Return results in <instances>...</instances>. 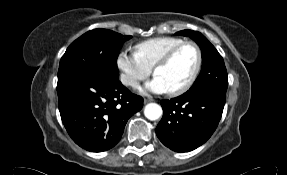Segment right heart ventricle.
I'll return each instance as SVG.
<instances>
[{
	"label": "right heart ventricle",
	"instance_id": "obj_1",
	"mask_svg": "<svg viewBox=\"0 0 287 175\" xmlns=\"http://www.w3.org/2000/svg\"><path fill=\"white\" fill-rule=\"evenodd\" d=\"M185 41L173 36L155 37L139 42L135 46L136 53L150 68L172 47Z\"/></svg>",
	"mask_w": 287,
	"mask_h": 175
}]
</instances>
